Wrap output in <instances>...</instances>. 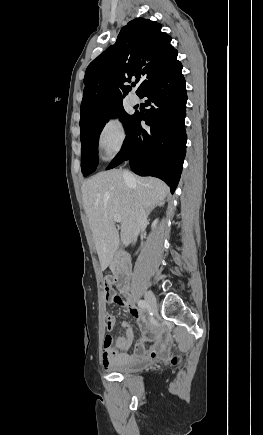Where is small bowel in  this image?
Listing matches in <instances>:
<instances>
[{
  "instance_id": "c3829d8e",
  "label": "small bowel",
  "mask_w": 263,
  "mask_h": 435,
  "mask_svg": "<svg viewBox=\"0 0 263 435\" xmlns=\"http://www.w3.org/2000/svg\"><path fill=\"white\" fill-rule=\"evenodd\" d=\"M106 301L108 303H113L107 299ZM116 303L120 305H130L129 301L121 298L120 301ZM131 311L133 316L137 319L139 328L142 332V338L133 345L132 352H130L134 334L129 323L124 322L123 326L127 329L126 333L117 337L114 350H103L102 352V363L105 368H112L144 359L155 358L163 347L161 335L151 320L145 314L136 309L132 308ZM114 324V316L107 314L106 327L110 330L113 328Z\"/></svg>"
}]
</instances>
